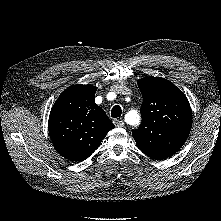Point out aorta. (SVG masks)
Here are the masks:
<instances>
[{"label": "aorta", "instance_id": "1", "mask_svg": "<svg viewBox=\"0 0 221 221\" xmlns=\"http://www.w3.org/2000/svg\"><path fill=\"white\" fill-rule=\"evenodd\" d=\"M129 116L132 117L131 125H137L140 122V116L137 111L132 110L129 112Z\"/></svg>", "mask_w": 221, "mask_h": 221}]
</instances>
